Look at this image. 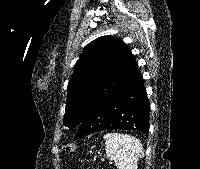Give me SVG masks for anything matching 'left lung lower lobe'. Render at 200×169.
I'll return each instance as SVG.
<instances>
[{"instance_id": "0a47b994", "label": "left lung lower lobe", "mask_w": 200, "mask_h": 169, "mask_svg": "<svg viewBox=\"0 0 200 169\" xmlns=\"http://www.w3.org/2000/svg\"><path fill=\"white\" fill-rule=\"evenodd\" d=\"M107 129L149 133V101L138 70L87 113L74 140Z\"/></svg>"}]
</instances>
